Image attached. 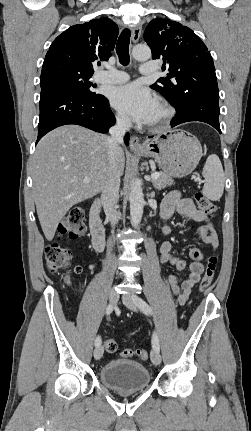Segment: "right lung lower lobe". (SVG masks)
Here are the masks:
<instances>
[{
    "mask_svg": "<svg viewBox=\"0 0 251 431\" xmlns=\"http://www.w3.org/2000/svg\"><path fill=\"white\" fill-rule=\"evenodd\" d=\"M39 107L37 142L49 131L62 125L76 124L106 133L115 124V117L106 97L84 95L65 86L42 88ZM124 140L128 144V134Z\"/></svg>",
    "mask_w": 251,
    "mask_h": 431,
    "instance_id": "obj_1",
    "label": "right lung lower lobe"
}]
</instances>
